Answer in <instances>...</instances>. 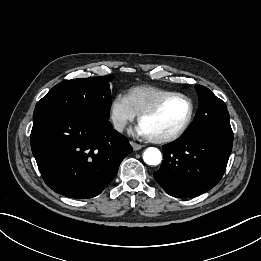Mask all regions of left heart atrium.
Segmentation results:
<instances>
[{
	"label": "left heart atrium",
	"instance_id": "1",
	"mask_svg": "<svg viewBox=\"0 0 261 261\" xmlns=\"http://www.w3.org/2000/svg\"><path fill=\"white\" fill-rule=\"evenodd\" d=\"M135 132L138 134V135H141V136H148V133L147 131L145 130V128L139 124L136 129H135Z\"/></svg>",
	"mask_w": 261,
	"mask_h": 261
}]
</instances>
